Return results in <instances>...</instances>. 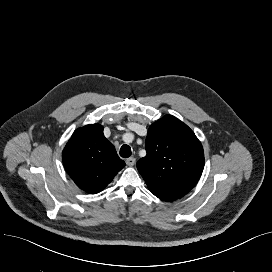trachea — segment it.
Returning a JSON list of instances; mask_svg holds the SVG:
<instances>
[{
    "instance_id": "obj_1",
    "label": "trachea",
    "mask_w": 272,
    "mask_h": 272,
    "mask_svg": "<svg viewBox=\"0 0 272 272\" xmlns=\"http://www.w3.org/2000/svg\"><path fill=\"white\" fill-rule=\"evenodd\" d=\"M131 148L130 146L128 145H123L121 148H120V156L123 157V158H128L131 156Z\"/></svg>"
}]
</instances>
